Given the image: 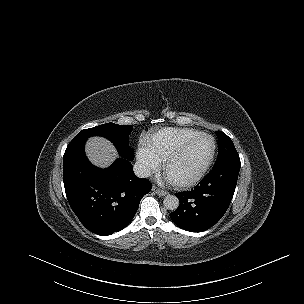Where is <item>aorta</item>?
Listing matches in <instances>:
<instances>
[{"instance_id": "1", "label": "aorta", "mask_w": 304, "mask_h": 304, "mask_svg": "<svg viewBox=\"0 0 304 304\" xmlns=\"http://www.w3.org/2000/svg\"><path fill=\"white\" fill-rule=\"evenodd\" d=\"M180 201L175 195L168 194L163 200V205L166 209L175 211L179 207Z\"/></svg>"}]
</instances>
